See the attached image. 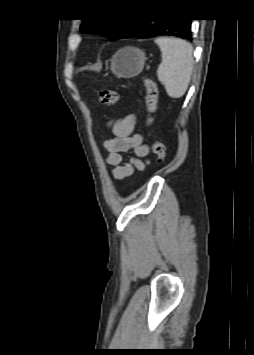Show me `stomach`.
Returning <instances> with one entry per match:
<instances>
[{"label": "stomach", "instance_id": "0dacf381", "mask_svg": "<svg viewBox=\"0 0 254 355\" xmlns=\"http://www.w3.org/2000/svg\"><path fill=\"white\" fill-rule=\"evenodd\" d=\"M146 56L143 50L134 47H124L116 52L111 60V71L122 78H131L144 68Z\"/></svg>", "mask_w": 254, "mask_h": 355}]
</instances>
